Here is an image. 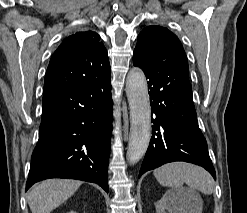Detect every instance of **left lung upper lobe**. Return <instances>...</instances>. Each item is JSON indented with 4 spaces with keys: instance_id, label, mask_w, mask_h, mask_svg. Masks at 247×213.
<instances>
[{
    "instance_id": "5c2ea615",
    "label": "left lung upper lobe",
    "mask_w": 247,
    "mask_h": 213,
    "mask_svg": "<svg viewBox=\"0 0 247 213\" xmlns=\"http://www.w3.org/2000/svg\"><path fill=\"white\" fill-rule=\"evenodd\" d=\"M133 62L141 68L150 65L188 67L186 54L177 36L160 26H148L138 35Z\"/></svg>"
}]
</instances>
